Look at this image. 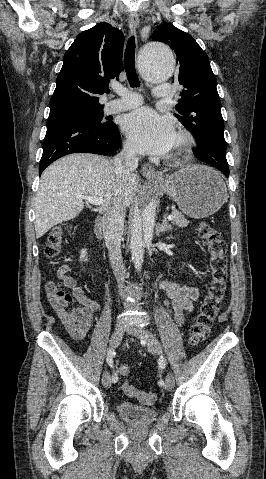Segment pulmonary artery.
Returning a JSON list of instances; mask_svg holds the SVG:
<instances>
[{
	"mask_svg": "<svg viewBox=\"0 0 266 479\" xmlns=\"http://www.w3.org/2000/svg\"><path fill=\"white\" fill-rule=\"evenodd\" d=\"M116 93L121 97L106 104L107 113L125 111L141 104L140 95L133 90L122 89ZM153 94L156 98H167L170 94V86L166 83L159 84L154 88Z\"/></svg>",
	"mask_w": 266,
	"mask_h": 479,
	"instance_id": "e3ab8cb5",
	"label": "pulmonary artery"
}]
</instances>
